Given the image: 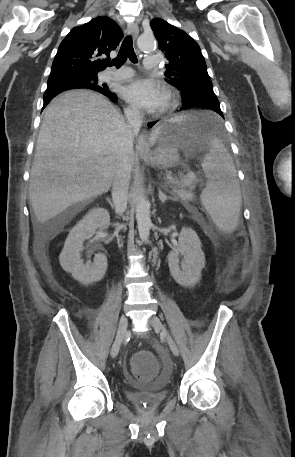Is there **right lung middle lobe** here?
<instances>
[{"mask_svg": "<svg viewBox=\"0 0 295 457\" xmlns=\"http://www.w3.org/2000/svg\"><path fill=\"white\" fill-rule=\"evenodd\" d=\"M80 82L83 83L87 87H96V88L104 87V86H99L98 85L97 76H91V77L83 78ZM62 91H65V90L47 89L45 91V93H44V99H51V98L55 97L57 94H59Z\"/></svg>", "mask_w": 295, "mask_h": 457, "instance_id": "obj_1", "label": "right lung middle lobe"}]
</instances>
